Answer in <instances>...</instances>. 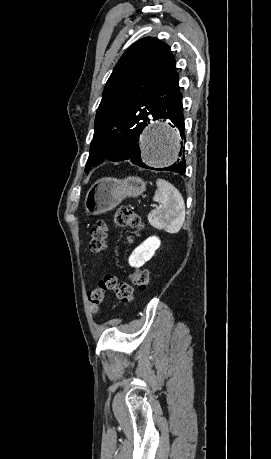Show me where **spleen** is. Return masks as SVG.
I'll return each instance as SVG.
<instances>
[{
	"instance_id": "obj_1",
	"label": "spleen",
	"mask_w": 271,
	"mask_h": 459,
	"mask_svg": "<svg viewBox=\"0 0 271 459\" xmlns=\"http://www.w3.org/2000/svg\"><path fill=\"white\" fill-rule=\"evenodd\" d=\"M157 190L153 198L154 202H159L157 210H153L149 222L157 229H165L168 233H177L185 222L184 200L169 182L157 180Z\"/></svg>"
}]
</instances>
